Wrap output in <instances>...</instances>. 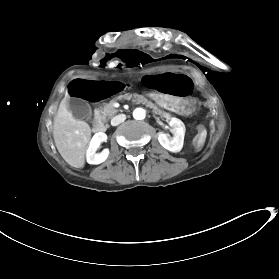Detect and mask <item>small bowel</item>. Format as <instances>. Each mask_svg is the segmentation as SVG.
Returning <instances> with one entry per match:
<instances>
[{
    "instance_id": "small-bowel-1",
    "label": "small bowel",
    "mask_w": 279,
    "mask_h": 279,
    "mask_svg": "<svg viewBox=\"0 0 279 279\" xmlns=\"http://www.w3.org/2000/svg\"><path fill=\"white\" fill-rule=\"evenodd\" d=\"M145 88L152 93L184 96L191 90V80L187 75L175 72L148 74L142 78Z\"/></svg>"
}]
</instances>
